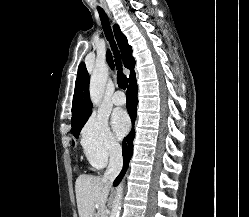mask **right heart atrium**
<instances>
[{
    "label": "right heart atrium",
    "instance_id": "obj_1",
    "mask_svg": "<svg viewBox=\"0 0 249 217\" xmlns=\"http://www.w3.org/2000/svg\"><path fill=\"white\" fill-rule=\"evenodd\" d=\"M81 146L87 161L95 168L104 167L119 150L107 119L98 114L91 115L83 126Z\"/></svg>",
    "mask_w": 249,
    "mask_h": 217
}]
</instances>
